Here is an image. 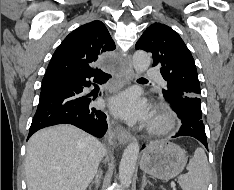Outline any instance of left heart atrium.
<instances>
[{
    "mask_svg": "<svg viewBox=\"0 0 234 190\" xmlns=\"http://www.w3.org/2000/svg\"><path fill=\"white\" fill-rule=\"evenodd\" d=\"M109 106L115 114L130 122L147 121L150 117L146 103L134 91L116 96Z\"/></svg>",
    "mask_w": 234,
    "mask_h": 190,
    "instance_id": "39dd6f15",
    "label": "left heart atrium"
}]
</instances>
